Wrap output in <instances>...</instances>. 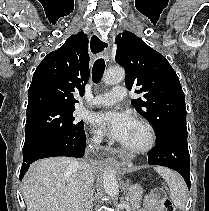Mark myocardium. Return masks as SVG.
I'll use <instances>...</instances> for the list:
<instances>
[{
    "mask_svg": "<svg viewBox=\"0 0 209 211\" xmlns=\"http://www.w3.org/2000/svg\"><path fill=\"white\" fill-rule=\"evenodd\" d=\"M135 122L142 127L145 133V139L142 144L135 147L126 146L124 144L121 145L122 149L130 154L138 155L144 154L150 151L156 142V134L153 126L145 119L138 118Z\"/></svg>",
    "mask_w": 209,
    "mask_h": 211,
    "instance_id": "1",
    "label": "myocardium"
}]
</instances>
